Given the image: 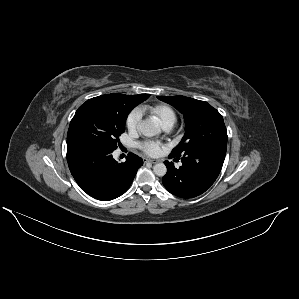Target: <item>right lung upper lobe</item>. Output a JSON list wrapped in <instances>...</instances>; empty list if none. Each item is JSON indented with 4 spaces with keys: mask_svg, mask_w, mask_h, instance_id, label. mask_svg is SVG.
Returning <instances> with one entry per match:
<instances>
[{
    "mask_svg": "<svg viewBox=\"0 0 299 299\" xmlns=\"http://www.w3.org/2000/svg\"><path fill=\"white\" fill-rule=\"evenodd\" d=\"M150 94H138V95H124L119 93L107 94L98 97L91 98L87 100L79 108H84L88 106H103L112 107L120 101L131 103L132 105H138L144 100H146Z\"/></svg>",
    "mask_w": 299,
    "mask_h": 299,
    "instance_id": "cb5924a9",
    "label": "right lung upper lobe"
}]
</instances>
